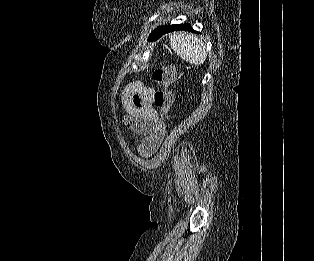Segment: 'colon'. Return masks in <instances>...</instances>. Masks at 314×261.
<instances>
[{
    "label": "colon",
    "mask_w": 314,
    "mask_h": 261,
    "mask_svg": "<svg viewBox=\"0 0 314 261\" xmlns=\"http://www.w3.org/2000/svg\"><path fill=\"white\" fill-rule=\"evenodd\" d=\"M175 77L176 71L168 63H163L152 74L153 81L159 86L154 94L153 102L163 117L167 116L173 102V95L169 87L175 81Z\"/></svg>",
    "instance_id": "5ec220e1"
}]
</instances>
